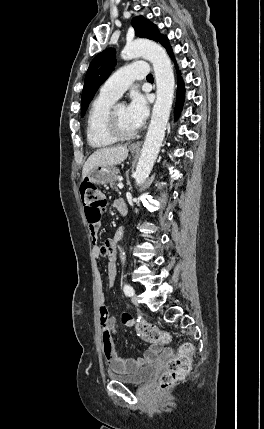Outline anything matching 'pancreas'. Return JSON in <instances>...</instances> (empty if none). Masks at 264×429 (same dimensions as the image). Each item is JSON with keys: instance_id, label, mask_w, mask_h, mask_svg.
I'll list each match as a JSON object with an SVG mask.
<instances>
[{"instance_id": "cf45deb5", "label": "pancreas", "mask_w": 264, "mask_h": 429, "mask_svg": "<svg viewBox=\"0 0 264 429\" xmlns=\"http://www.w3.org/2000/svg\"><path fill=\"white\" fill-rule=\"evenodd\" d=\"M119 171H116L115 175L113 176V178L109 181L110 187L114 190H118L116 183L119 182Z\"/></svg>"}]
</instances>
